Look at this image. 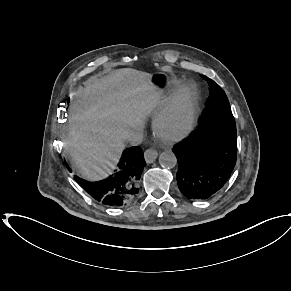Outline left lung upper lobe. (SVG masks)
I'll return each mask as SVG.
<instances>
[{"label": "left lung upper lobe", "mask_w": 291, "mask_h": 291, "mask_svg": "<svg viewBox=\"0 0 291 291\" xmlns=\"http://www.w3.org/2000/svg\"><path fill=\"white\" fill-rule=\"evenodd\" d=\"M202 77L210 84L211 96L199 123L206 127L236 131L235 120L225 92L213 80L206 76Z\"/></svg>", "instance_id": "5c2ea615"}]
</instances>
